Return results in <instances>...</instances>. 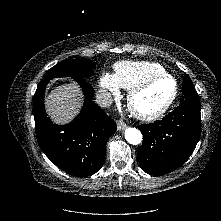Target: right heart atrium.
<instances>
[{"label":"right heart atrium","mask_w":221,"mask_h":221,"mask_svg":"<svg viewBox=\"0 0 221 221\" xmlns=\"http://www.w3.org/2000/svg\"><path fill=\"white\" fill-rule=\"evenodd\" d=\"M99 84L103 90L109 92L110 94L114 96L119 94V86L112 75L108 73L102 74Z\"/></svg>","instance_id":"obj_1"}]
</instances>
